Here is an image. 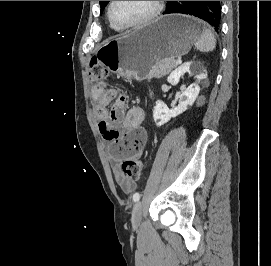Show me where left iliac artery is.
Wrapping results in <instances>:
<instances>
[{
	"mask_svg": "<svg viewBox=\"0 0 271 266\" xmlns=\"http://www.w3.org/2000/svg\"><path fill=\"white\" fill-rule=\"evenodd\" d=\"M139 199H140V193H139V192H136V193L133 195V200H134V202H137V201H139Z\"/></svg>",
	"mask_w": 271,
	"mask_h": 266,
	"instance_id": "44dca946",
	"label": "left iliac artery"
}]
</instances>
